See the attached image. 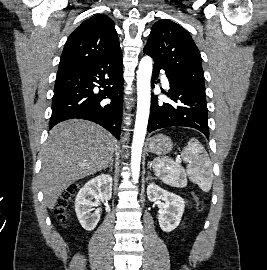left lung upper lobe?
Listing matches in <instances>:
<instances>
[{"instance_id":"obj_1","label":"left lung upper lobe","mask_w":267,"mask_h":270,"mask_svg":"<svg viewBox=\"0 0 267 270\" xmlns=\"http://www.w3.org/2000/svg\"><path fill=\"white\" fill-rule=\"evenodd\" d=\"M144 53L165 70L168 79L205 93L200 52L180 25L167 19L157 21L152 26Z\"/></svg>"}]
</instances>
